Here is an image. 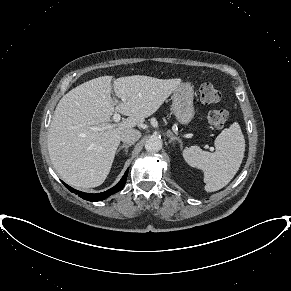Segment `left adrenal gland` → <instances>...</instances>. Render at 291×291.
I'll list each match as a JSON object with an SVG mask.
<instances>
[{
    "mask_svg": "<svg viewBox=\"0 0 291 291\" xmlns=\"http://www.w3.org/2000/svg\"><path fill=\"white\" fill-rule=\"evenodd\" d=\"M167 136L170 138L169 143H171L173 141H178L179 143H181L180 138L175 136L171 131L167 132Z\"/></svg>",
    "mask_w": 291,
    "mask_h": 291,
    "instance_id": "a2214340",
    "label": "left adrenal gland"
}]
</instances>
